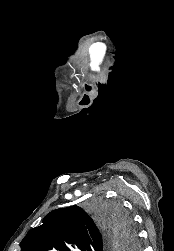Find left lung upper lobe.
<instances>
[{"label": "left lung upper lobe", "mask_w": 174, "mask_h": 251, "mask_svg": "<svg viewBox=\"0 0 174 251\" xmlns=\"http://www.w3.org/2000/svg\"><path fill=\"white\" fill-rule=\"evenodd\" d=\"M95 210L106 231L101 233L79 206L56 209L27 233L20 243L21 251H104L113 245L135 243L132 220L120 206L102 204Z\"/></svg>", "instance_id": "obj_1"}]
</instances>
